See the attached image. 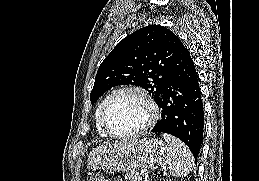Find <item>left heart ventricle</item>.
I'll list each match as a JSON object with an SVG mask.
<instances>
[{"label": "left heart ventricle", "instance_id": "1", "mask_svg": "<svg viewBox=\"0 0 259 181\" xmlns=\"http://www.w3.org/2000/svg\"><path fill=\"white\" fill-rule=\"evenodd\" d=\"M148 117L147 104L133 92H125L116 96L106 113L107 124L116 133L137 130L145 124Z\"/></svg>", "mask_w": 259, "mask_h": 181}]
</instances>
